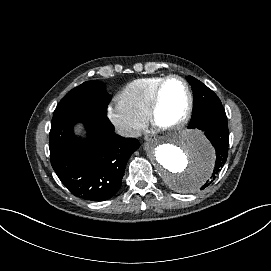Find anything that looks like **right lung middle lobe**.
Masks as SVG:
<instances>
[{
  "label": "right lung middle lobe",
  "instance_id": "1",
  "mask_svg": "<svg viewBox=\"0 0 271 271\" xmlns=\"http://www.w3.org/2000/svg\"><path fill=\"white\" fill-rule=\"evenodd\" d=\"M111 96L106 92L104 83L87 81L69 91L59 102L54 115L72 108H89L107 113Z\"/></svg>",
  "mask_w": 271,
  "mask_h": 271
}]
</instances>
